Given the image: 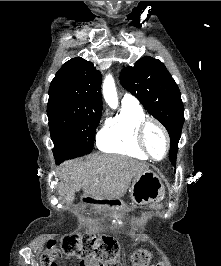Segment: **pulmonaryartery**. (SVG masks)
Wrapping results in <instances>:
<instances>
[{"instance_id":"pulmonary-artery-1","label":"pulmonary artery","mask_w":221,"mask_h":266,"mask_svg":"<svg viewBox=\"0 0 221 266\" xmlns=\"http://www.w3.org/2000/svg\"><path fill=\"white\" fill-rule=\"evenodd\" d=\"M122 105L136 107L139 106V101L133 95L126 93L122 98Z\"/></svg>"}]
</instances>
